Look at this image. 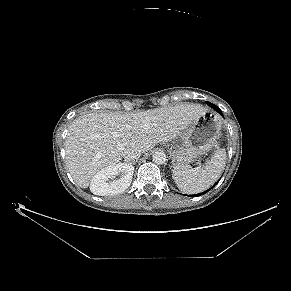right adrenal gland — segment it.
<instances>
[{"mask_svg": "<svg viewBox=\"0 0 291 291\" xmlns=\"http://www.w3.org/2000/svg\"><path fill=\"white\" fill-rule=\"evenodd\" d=\"M136 162H137L136 160H135V161H133V162H132V165H133V164H135Z\"/></svg>", "mask_w": 291, "mask_h": 291, "instance_id": "right-adrenal-gland-1", "label": "right adrenal gland"}]
</instances>
